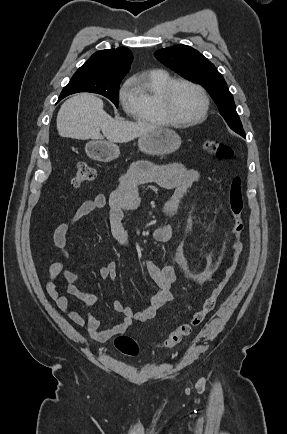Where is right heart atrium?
Returning <instances> with one entry per match:
<instances>
[{
  "instance_id": "d8ad5b80",
  "label": "right heart atrium",
  "mask_w": 287,
  "mask_h": 434,
  "mask_svg": "<svg viewBox=\"0 0 287 434\" xmlns=\"http://www.w3.org/2000/svg\"><path fill=\"white\" fill-rule=\"evenodd\" d=\"M133 79H128L121 89L119 90V100L124 108V110L128 111L132 108L134 101H135V95L133 92Z\"/></svg>"
}]
</instances>
